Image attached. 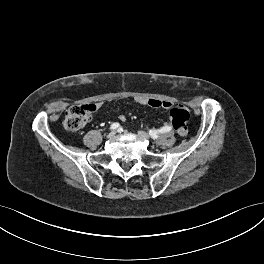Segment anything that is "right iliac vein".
<instances>
[{"mask_svg": "<svg viewBox=\"0 0 264 264\" xmlns=\"http://www.w3.org/2000/svg\"><path fill=\"white\" fill-rule=\"evenodd\" d=\"M115 134H116L115 131H111V132H109V134H108V138H112V137H114Z\"/></svg>", "mask_w": 264, "mask_h": 264, "instance_id": "63e3f726", "label": "right iliac vein"}]
</instances>
